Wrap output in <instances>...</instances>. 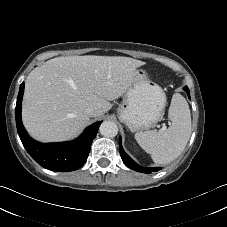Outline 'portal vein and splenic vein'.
Returning a JSON list of instances; mask_svg holds the SVG:
<instances>
[{"label":"portal vein and splenic vein","instance_id":"obj_1","mask_svg":"<svg viewBox=\"0 0 227 227\" xmlns=\"http://www.w3.org/2000/svg\"><path fill=\"white\" fill-rule=\"evenodd\" d=\"M163 130L165 129V126H163V128H162Z\"/></svg>","mask_w":227,"mask_h":227}]
</instances>
